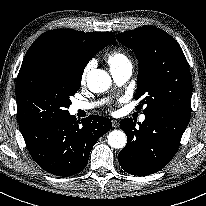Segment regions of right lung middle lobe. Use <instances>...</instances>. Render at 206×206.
I'll use <instances>...</instances> for the list:
<instances>
[{"label": "right lung middle lobe", "instance_id": "right-lung-middle-lobe-1", "mask_svg": "<svg viewBox=\"0 0 206 206\" xmlns=\"http://www.w3.org/2000/svg\"><path fill=\"white\" fill-rule=\"evenodd\" d=\"M83 69L71 51L55 43L40 44L26 54L16 82L20 130L69 114Z\"/></svg>", "mask_w": 206, "mask_h": 206}]
</instances>
